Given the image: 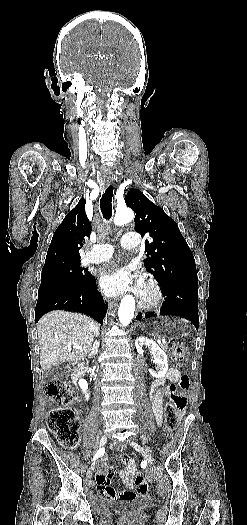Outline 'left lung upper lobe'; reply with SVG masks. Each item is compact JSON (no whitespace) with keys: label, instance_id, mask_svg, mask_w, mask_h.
I'll list each match as a JSON object with an SVG mask.
<instances>
[{"label":"left lung upper lobe","instance_id":"obj_1","mask_svg":"<svg viewBox=\"0 0 247 525\" xmlns=\"http://www.w3.org/2000/svg\"><path fill=\"white\" fill-rule=\"evenodd\" d=\"M125 201L136 213L135 231L151 238L145 246L147 271L160 286L198 287L193 254L176 222L140 190L129 191Z\"/></svg>","mask_w":247,"mask_h":525}]
</instances>
